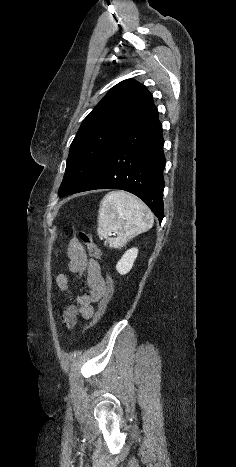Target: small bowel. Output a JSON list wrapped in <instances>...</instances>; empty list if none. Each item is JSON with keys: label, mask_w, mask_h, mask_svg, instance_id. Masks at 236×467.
Listing matches in <instances>:
<instances>
[{"label": "small bowel", "mask_w": 236, "mask_h": 467, "mask_svg": "<svg viewBox=\"0 0 236 467\" xmlns=\"http://www.w3.org/2000/svg\"><path fill=\"white\" fill-rule=\"evenodd\" d=\"M67 254L69 271L79 277L86 275L87 285L90 289L89 294L73 296L68 276L61 273L56 277L58 288L67 296L73 298V303L69 304L62 314V322L67 327H72L76 323L78 315L84 319L92 318L94 304L105 296L107 283L102 276L99 262L88 257L85 249L78 241H70Z\"/></svg>", "instance_id": "small-bowel-1"}]
</instances>
